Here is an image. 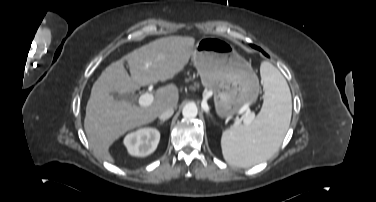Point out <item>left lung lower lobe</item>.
Returning <instances> with one entry per match:
<instances>
[{
	"label": "left lung lower lobe",
	"mask_w": 376,
	"mask_h": 202,
	"mask_svg": "<svg viewBox=\"0 0 376 202\" xmlns=\"http://www.w3.org/2000/svg\"><path fill=\"white\" fill-rule=\"evenodd\" d=\"M255 49H258V50H260V51H262V49L261 48H259V47H257V46H255V45H252Z\"/></svg>",
	"instance_id": "0a47b994"
}]
</instances>
